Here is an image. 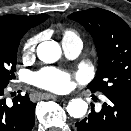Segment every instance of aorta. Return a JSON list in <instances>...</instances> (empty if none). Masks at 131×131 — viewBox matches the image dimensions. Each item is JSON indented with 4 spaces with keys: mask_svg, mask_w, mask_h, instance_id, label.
Here are the masks:
<instances>
[{
    "mask_svg": "<svg viewBox=\"0 0 131 131\" xmlns=\"http://www.w3.org/2000/svg\"><path fill=\"white\" fill-rule=\"evenodd\" d=\"M38 58L45 63H54L61 56V48L55 41H45L37 47ZM88 109V104L80 99H72L67 106L68 114L73 118L83 117Z\"/></svg>",
    "mask_w": 131,
    "mask_h": 131,
    "instance_id": "aorta-1",
    "label": "aorta"
}]
</instances>
